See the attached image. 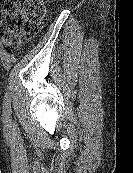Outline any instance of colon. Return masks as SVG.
I'll use <instances>...</instances> for the list:
<instances>
[{
    "label": "colon",
    "instance_id": "1",
    "mask_svg": "<svg viewBox=\"0 0 133 173\" xmlns=\"http://www.w3.org/2000/svg\"><path fill=\"white\" fill-rule=\"evenodd\" d=\"M46 14L44 0H0V25L8 43L36 36Z\"/></svg>",
    "mask_w": 133,
    "mask_h": 173
}]
</instances>
